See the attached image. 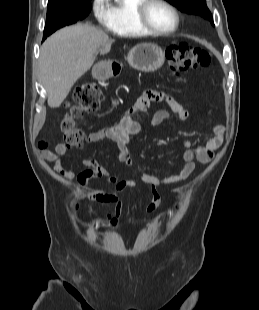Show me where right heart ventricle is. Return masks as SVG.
Masks as SVG:
<instances>
[{
  "label": "right heart ventricle",
  "mask_w": 259,
  "mask_h": 310,
  "mask_svg": "<svg viewBox=\"0 0 259 310\" xmlns=\"http://www.w3.org/2000/svg\"><path fill=\"white\" fill-rule=\"evenodd\" d=\"M141 2L142 0H112L106 28L112 33L124 37L150 35L138 24L136 19V8Z\"/></svg>",
  "instance_id": "1"
}]
</instances>
